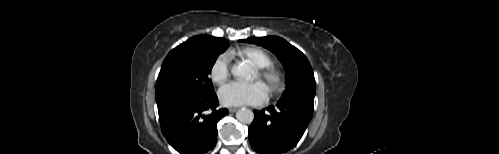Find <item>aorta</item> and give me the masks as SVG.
I'll return each mask as SVG.
<instances>
[{"label": "aorta", "mask_w": 499, "mask_h": 154, "mask_svg": "<svg viewBox=\"0 0 499 154\" xmlns=\"http://www.w3.org/2000/svg\"><path fill=\"white\" fill-rule=\"evenodd\" d=\"M231 73L244 80H249L253 77L252 68L246 63L234 65ZM236 119L241 123L250 124L254 119V113L250 109H241L236 112Z\"/></svg>", "instance_id": "aorta-1"}]
</instances>
